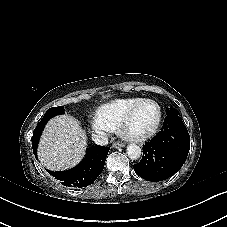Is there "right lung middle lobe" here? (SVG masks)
Returning a JSON list of instances; mask_svg holds the SVG:
<instances>
[{"instance_id":"1","label":"right lung middle lobe","mask_w":227,"mask_h":227,"mask_svg":"<svg viewBox=\"0 0 227 227\" xmlns=\"http://www.w3.org/2000/svg\"><path fill=\"white\" fill-rule=\"evenodd\" d=\"M65 109L63 106H58V107H52L47 110L45 113L44 117L40 122H47L49 119H51L53 116L59 115V114H64Z\"/></svg>"}]
</instances>
